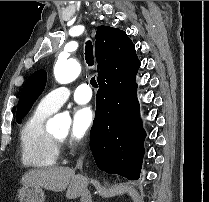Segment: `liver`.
<instances>
[{"label":"liver","instance_id":"6515ba94","mask_svg":"<svg viewBox=\"0 0 209 202\" xmlns=\"http://www.w3.org/2000/svg\"><path fill=\"white\" fill-rule=\"evenodd\" d=\"M21 183L24 186H36L54 192L67 189L66 197L76 199L87 186L88 180L82 175H75V171L69 167H52L26 172Z\"/></svg>","mask_w":209,"mask_h":202}]
</instances>
